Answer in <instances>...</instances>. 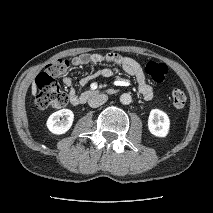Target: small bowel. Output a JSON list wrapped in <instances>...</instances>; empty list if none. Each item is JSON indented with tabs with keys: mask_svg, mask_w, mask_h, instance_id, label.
<instances>
[{
	"mask_svg": "<svg viewBox=\"0 0 213 213\" xmlns=\"http://www.w3.org/2000/svg\"><path fill=\"white\" fill-rule=\"evenodd\" d=\"M71 62L72 65L77 67L89 64H100L103 62H109L113 65H117L121 67L125 73L132 76L136 80L139 92L145 100H151L154 97V90L152 86L147 82L142 66L131 57L120 56L115 53H85L74 56ZM113 74L114 69L112 67H104L91 75L81 78L79 84L81 86H84L95 77L102 76L105 78H109L113 76ZM63 84L69 89L70 103L73 105H77L79 103V94L73 87V80L71 79V77L65 76L63 78Z\"/></svg>",
	"mask_w": 213,
	"mask_h": 213,
	"instance_id": "small-bowel-1",
	"label": "small bowel"
}]
</instances>
